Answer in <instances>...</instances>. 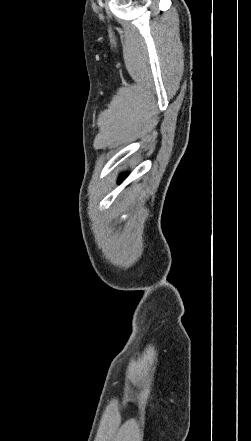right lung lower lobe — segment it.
I'll return each mask as SVG.
<instances>
[{
  "label": "right lung lower lobe",
  "mask_w": 251,
  "mask_h": 441,
  "mask_svg": "<svg viewBox=\"0 0 251 441\" xmlns=\"http://www.w3.org/2000/svg\"><path fill=\"white\" fill-rule=\"evenodd\" d=\"M124 179V175L120 178V181H122Z\"/></svg>",
  "instance_id": "obj_1"
}]
</instances>
